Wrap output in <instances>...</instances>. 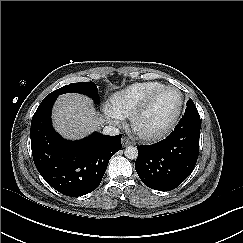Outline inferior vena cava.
Masks as SVG:
<instances>
[{
    "instance_id": "obj_1",
    "label": "inferior vena cava",
    "mask_w": 243,
    "mask_h": 243,
    "mask_svg": "<svg viewBox=\"0 0 243 243\" xmlns=\"http://www.w3.org/2000/svg\"><path fill=\"white\" fill-rule=\"evenodd\" d=\"M102 133L104 135L115 136V135H118L120 133V131L115 125H109V126H105L103 128Z\"/></svg>"
}]
</instances>
